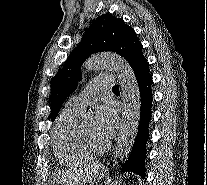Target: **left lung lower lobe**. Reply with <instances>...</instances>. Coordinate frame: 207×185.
Listing matches in <instances>:
<instances>
[{
	"instance_id": "0a47b994",
	"label": "left lung lower lobe",
	"mask_w": 207,
	"mask_h": 185,
	"mask_svg": "<svg viewBox=\"0 0 207 185\" xmlns=\"http://www.w3.org/2000/svg\"><path fill=\"white\" fill-rule=\"evenodd\" d=\"M137 83L141 97L140 121L136 139L122 171H131L141 177L145 176L144 162L146 159V143L149 139V122L151 120V105L153 101L151 84L152 78L149 67L140 69L136 74Z\"/></svg>"
}]
</instances>
